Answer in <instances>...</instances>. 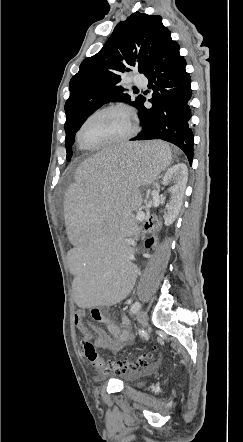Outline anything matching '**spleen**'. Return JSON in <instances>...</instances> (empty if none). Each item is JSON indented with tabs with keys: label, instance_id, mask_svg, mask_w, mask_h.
<instances>
[{
	"label": "spleen",
	"instance_id": "spleen-1",
	"mask_svg": "<svg viewBox=\"0 0 243 442\" xmlns=\"http://www.w3.org/2000/svg\"><path fill=\"white\" fill-rule=\"evenodd\" d=\"M171 163V149L161 141L101 147V153L78 163L64 200L75 248L69 268L75 274L71 293L76 307H112L127 291H135L139 268L133 260L147 248L128 244L126 249L121 237H135V214L145 209L138 192L165 178Z\"/></svg>",
	"mask_w": 243,
	"mask_h": 442
}]
</instances>
